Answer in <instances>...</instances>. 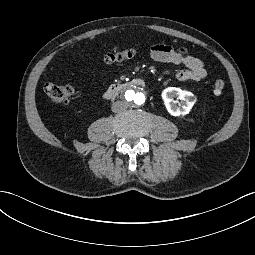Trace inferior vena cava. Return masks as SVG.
<instances>
[{
	"label": "inferior vena cava",
	"mask_w": 255,
	"mask_h": 255,
	"mask_svg": "<svg viewBox=\"0 0 255 255\" xmlns=\"http://www.w3.org/2000/svg\"><path fill=\"white\" fill-rule=\"evenodd\" d=\"M128 108V103L125 101H116L112 104V111L115 113L122 112Z\"/></svg>",
	"instance_id": "inferior-vena-cava-1"
}]
</instances>
